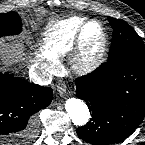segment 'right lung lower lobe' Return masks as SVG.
<instances>
[{
    "label": "right lung lower lobe",
    "instance_id": "obj_1",
    "mask_svg": "<svg viewBox=\"0 0 145 145\" xmlns=\"http://www.w3.org/2000/svg\"><path fill=\"white\" fill-rule=\"evenodd\" d=\"M52 98L51 88L0 72V141L12 145L31 141L37 129L35 114Z\"/></svg>",
    "mask_w": 145,
    "mask_h": 145
}]
</instances>
